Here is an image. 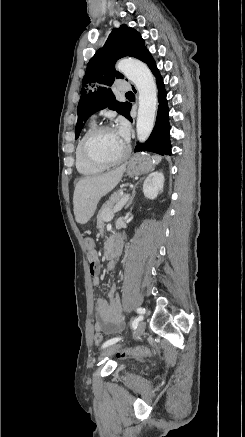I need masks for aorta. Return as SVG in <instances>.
<instances>
[{"label":"aorta","instance_id":"1","mask_svg":"<svg viewBox=\"0 0 245 437\" xmlns=\"http://www.w3.org/2000/svg\"><path fill=\"white\" fill-rule=\"evenodd\" d=\"M117 70L134 83L139 92V108L136 123L138 140L144 142L150 136L156 118L157 87L146 64L126 58L117 63Z\"/></svg>","mask_w":245,"mask_h":437}]
</instances>
